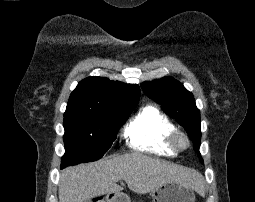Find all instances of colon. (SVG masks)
Instances as JSON below:
<instances>
[{
    "label": "colon",
    "mask_w": 255,
    "mask_h": 202,
    "mask_svg": "<svg viewBox=\"0 0 255 202\" xmlns=\"http://www.w3.org/2000/svg\"><path fill=\"white\" fill-rule=\"evenodd\" d=\"M95 202H101L99 199L94 200Z\"/></svg>",
    "instance_id": "1"
}]
</instances>
